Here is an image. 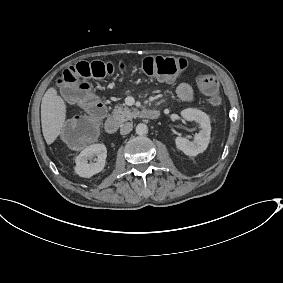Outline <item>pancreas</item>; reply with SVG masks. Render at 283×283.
Instances as JSON below:
<instances>
[{"mask_svg": "<svg viewBox=\"0 0 283 283\" xmlns=\"http://www.w3.org/2000/svg\"><path fill=\"white\" fill-rule=\"evenodd\" d=\"M139 112L136 108L129 109L128 107L116 106L113 110V118L117 120L119 123L126 122L128 120L137 117Z\"/></svg>", "mask_w": 283, "mask_h": 283, "instance_id": "obj_1", "label": "pancreas"}]
</instances>
